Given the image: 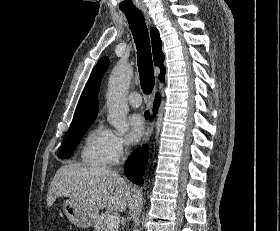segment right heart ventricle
Instances as JSON below:
<instances>
[{"label": "right heart ventricle", "mask_w": 280, "mask_h": 231, "mask_svg": "<svg viewBox=\"0 0 280 231\" xmlns=\"http://www.w3.org/2000/svg\"><path fill=\"white\" fill-rule=\"evenodd\" d=\"M105 130L100 126L93 127L86 135L81 149L80 161L88 167L102 168L108 163L105 151Z\"/></svg>", "instance_id": "obj_1"}]
</instances>
